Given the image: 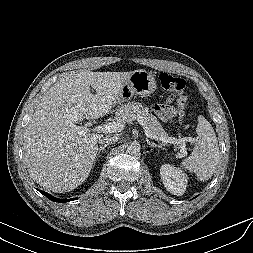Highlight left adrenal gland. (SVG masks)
<instances>
[{
  "label": "left adrenal gland",
  "mask_w": 253,
  "mask_h": 253,
  "mask_svg": "<svg viewBox=\"0 0 253 253\" xmlns=\"http://www.w3.org/2000/svg\"><path fill=\"white\" fill-rule=\"evenodd\" d=\"M147 144H148L150 147L163 148L161 145H157V144L154 143V142H150L148 139H147Z\"/></svg>",
  "instance_id": "left-adrenal-gland-1"
}]
</instances>
